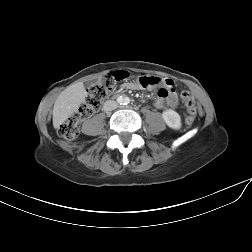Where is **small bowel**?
Wrapping results in <instances>:
<instances>
[{"instance_id": "1", "label": "small bowel", "mask_w": 252, "mask_h": 252, "mask_svg": "<svg viewBox=\"0 0 252 252\" xmlns=\"http://www.w3.org/2000/svg\"><path fill=\"white\" fill-rule=\"evenodd\" d=\"M153 85L149 88H159L157 98L155 100V106L161 108L163 106H176L177 97L174 89V81L170 78L148 77ZM128 90H140L144 87L138 82H129L124 86Z\"/></svg>"}]
</instances>
